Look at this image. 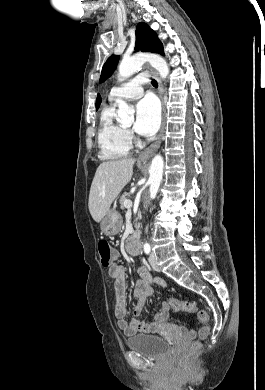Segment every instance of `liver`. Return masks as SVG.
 <instances>
[{
    "instance_id": "1",
    "label": "liver",
    "mask_w": 265,
    "mask_h": 390,
    "mask_svg": "<svg viewBox=\"0 0 265 390\" xmlns=\"http://www.w3.org/2000/svg\"><path fill=\"white\" fill-rule=\"evenodd\" d=\"M134 158L102 162L93 178L88 207L94 221L100 222L133 175Z\"/></svg>"
}]
</instances>
